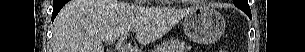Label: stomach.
I'll use <instances>...</instances> for the list:
<instances>
[{
	"label": "stomach",
	"mask_w": 305,
	"mask_h": 52,
	"mask_svg": "<svg viewBox=\"0 0 305 52\" xmlns=\"http://www.w3.org/2000/svg\"><path fill=\"white\" fill-rule=\"evenodd\" d=\"M224 17L207 6L192 8L183 20L185 34L193 41L208 44L216 41L223 33Z\"/></svg>",
	"instance_id": "stomach-1"
}]
</instances>
